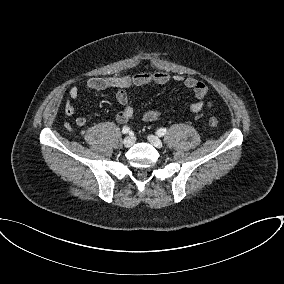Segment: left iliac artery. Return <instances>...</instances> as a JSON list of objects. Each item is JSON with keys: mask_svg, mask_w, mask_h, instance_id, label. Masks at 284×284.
<instances>
[{"mask_svg": "<svg viewBox=\"0 0 284 284\" xmlns=\"http://www.w3.org/2000/svg\"><path fill=\"white\" fill-rule=\"evenodd\" d=\"M166 132H167V129H166V128H160V129L157 130L156 133H157L158 136L161 137V136L165 135Z\"/></svg>", "mask_w": 284, "mask_h": 284, "instance_id": "1", "label": "left iliac artery"}]
</instances>
